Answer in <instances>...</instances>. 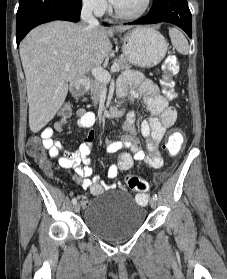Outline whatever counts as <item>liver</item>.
Wrapping results in <instances>:
<instances>
[{
	"label": "liver",
	"mask_w": 227,
	"mask_h": 279,
	"mask_svg": "<svg viewBox=\"0 0 227 279\" xmlns=\"http://www.w3.org/2000/svg\"><path fill=\"white\" fill-rule=\"evenodd\" d=\"M132 26L105 28L53 21L34 28L20 45L33 133L51 121L63 105L68 83L100 65L112 49L110 37ZM66 63L70 69L65 71Z\"/></svg>",
	"instance_id": "liver-1"
}]
</instances>
